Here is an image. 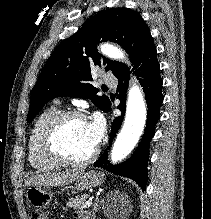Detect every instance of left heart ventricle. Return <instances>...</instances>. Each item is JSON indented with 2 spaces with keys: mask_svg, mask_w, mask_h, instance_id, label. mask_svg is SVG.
<instances>
[{
  "mask_svg": "<svg viewBox=\"0 0 211 219\" xmlns=\"http://www.w3.org/2000/svg\"><path fill=\"white\" fill-rule=\"evenodd\" d=\"M58 146L72 159H84L96 147L89 136L87 123L83 120H70L63 125L58 134Z\"/></svg>",
  "mask_w": 211,
  "mask_h": 219,
  "instance_id": "obj_1",
  "label": "left heart ventricle"
}]
</instances>
